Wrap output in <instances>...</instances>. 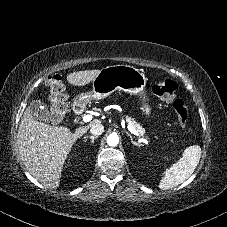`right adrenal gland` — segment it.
<instances>
[{"label":"right adrenal gland","instance_id":"obj_1","mask_svg":"<svg viewBox=\"0 0 227 227\" xmlns=\"http://www.w3.org/2000/svg\"><path fill=\"white\" fill-rule=\"evenodd\" d=\"M90 138L91 142L94 143V139L98 138V136H85L84 139Z\"/></svg>","mask_w":227,"mask_h":227}]
</instances>
